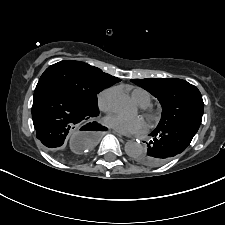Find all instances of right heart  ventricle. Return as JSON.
<instances>
[{"mask_svg":"<svg viewBox=\"0 0 225 225\" xmlns=\"http://www.w3.org/2000/svg\"><path fill=\"white\" fill-rule=\"evenodd\" d=\"M131 96L142 107H147L151 103L150 93L142 88H134Z\"/></svg>","mask_w":225,"mask_h":225,"instance_id":"e07e8e85","label":"right heart ventricle"}]
</instances>
